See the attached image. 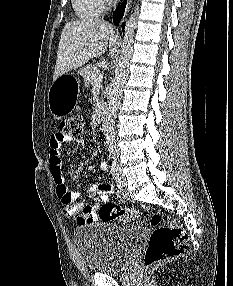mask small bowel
<instances>
[{"label": "small bowel", "mask_w": 233, "mask_h": 286, "mask_svg": "<svg viewBox=\"0 0 233 286\" xmlns=\"http://www.w3.org/2000/svg\"><path fill=\"white\" fill-rule=\"evenodd\" d=\"M69 141H73V139L61 138L57 133L52 135L49 148V170L56 184V194L63 205V214L68 217L76 216L79 224L91 223L98 219L95 209L100 204L107 202L110 194L114 191V186L107 182L93 183L87 191L90 194H98L100 196L99 201L93 205L77 202L80 193L71 190L66 185L63 176L61 151L63 144ZM76 142L81 146L85 143L83 139H77ZM100 168L106 169V164L101 163Z\"/></svg>", "instance_id": "obj_1"}]
</instances>
